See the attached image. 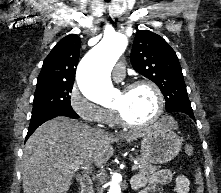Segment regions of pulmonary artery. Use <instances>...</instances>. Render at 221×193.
Wrapping results in <instances>:
<instances>
[{
	"mask_svg": "<svg viewBox=\"0 0 221 193\" xmlns=\"http://www.w3.org/2000/svg\"><path fill=\"white\" fill-rule=\"evenodd\" d=\"M112 77L116 81L122 80L125 77V66L121 62L114 67Z\"/></svg>",
	"mask_w": 221,
	"mask_h": 193,
	"instance_id": "e3ab8cb5",
	"label": "pulmonary artery"
}]
</instances>
